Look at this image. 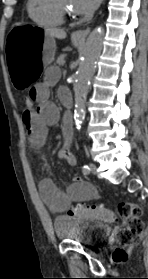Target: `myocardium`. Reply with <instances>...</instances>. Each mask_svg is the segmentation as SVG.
Masks as SVG:
<instances>
[{
	"label": "myocardium",
	"mask_w": 148,
	"mask_h": 279,
	"mask_svg": "<svg viewBox=\"0 0 148 279\" xmlns=\"http://www.w3.org/2000/svg\"><path fill=\"white\" fill-rule=\"evenodd\" d=\"M54 6L58 13L63 17V18H74L75 15L73 11L66 7L63 3L62 0H53Z\"/></svg>",
	"instance_id": "f54148a6"
}]
</instances>
